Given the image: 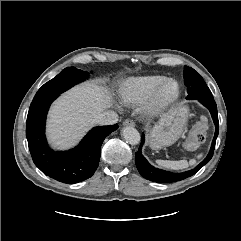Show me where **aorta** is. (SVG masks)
Masks as SVG:
<instances>
[{
	"instance_id": "obj_1",
	"label": "aorta",
	"mask_w": 241,
	"mask_h": 241,
	"mask_svg": "<svg viewBox=\"0 0 241 241\" xmlns=\"http://www.w3.org/2000/svg\"><path fill=\"white\" fill-rule=\"evenodd\" d=\"M122 135L124 139L131 145H136L140 142V134L134 127H125L122 130Z\"/></svg>"
}]
</instances>
